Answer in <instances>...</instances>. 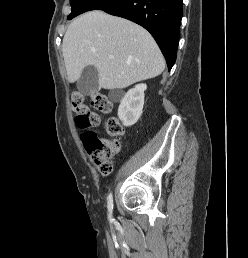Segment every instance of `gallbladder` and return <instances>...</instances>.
<instances>
[{
    "mask_svg": "<svg viewBox=\"0 0 248 258\" xmlns=\"http://www.w3.org/2000/svg\"><path fill=\"white\" fill-rule=\"evenodd\" d=\"M99 73L96 67L86 66L77 82L78 90L86 96L93 94L99 87Z\"/></svg>",
    "mask_w": 248,
    "mask_h": 258,
    "instance_id": "gallbladder-1",
    "label": "gallbladder"
}]
</instances>
